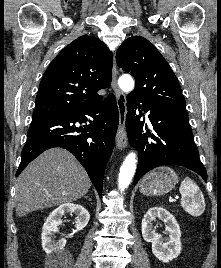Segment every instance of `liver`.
I'll use <instances>...</instances> for the list:
<instances>
[{
  "mask_svg": "<svg viewBox=\"0 0 221 268\" xmlns=\"http://www.w3.org/2000/svg\"><path fill=\"white\" fill-rule=\"evenodd\" d=\"M91 181L80 163L68 151L53 148L32 161L16 184V214L70 203L83 197Z\"/></svg>",
  "mask_w": 221,
  "mask_h": 268,
  "instance_id": "6515ba94",
  "label": "liver"
}]
</instances>
